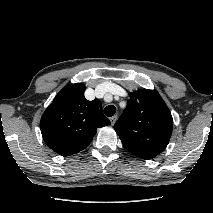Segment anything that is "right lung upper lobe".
Listing matches in <instances>:
<instances>
[{
	"mask_svg": "<svg viewBox=\"0 0 213 213\" xmlns=\"http://www.w3.org/2000/svg\"><path fill=\"white\" fill-rule=\"evenodd\" d=\"M83 83L64 87L42 115L40 128L45 143L56 153L70 156L85 149L99 127L110 125L98 99L84 97Z\"/></svg>",
	"mask_w": 213,
	"mask_h": 213,
	"instance_id": "cb5924a9",
	"label": "right lung upper lobe"
}]
</instances>
